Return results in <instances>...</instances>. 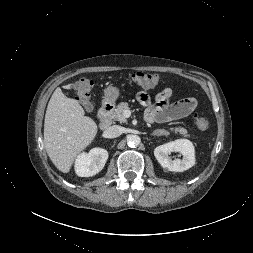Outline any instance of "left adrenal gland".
<instances>
[{"label": "left adrenal gland", "instance_id": "1", "mask_svg": "<svg viewBox=\"0 0 253 253\" xmlns=\"http://www.w3.org/2000/svg\"><path fill=\"white\" fill-rule=\"evenodd\" d=\"M153 136H161V135H167V133H165L164 130H155L153 133H152Z\"/></svg>", "mask_w": 253, "mask_h": 253}]
</instances>
